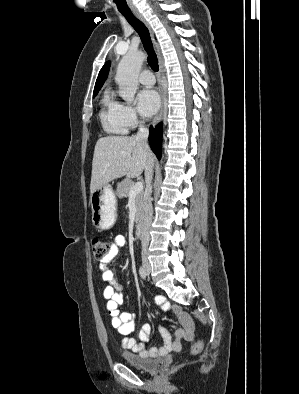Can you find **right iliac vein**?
<instances>
[{"label": "right iliac vein", "instance_id": "63e3f726", "mask_svg": "<svg viewBox=\"0 0 299 394\" xmlns=\"http://www.w3.org/2000/svg\"><path fill=\"white\" fill-rule=\"evenodd\" d=\"M145 269L149 272L150 271V266L149 265H145Z\"/></svg>", "mask_w": 299, "mask_h": 394}]
</instances>
